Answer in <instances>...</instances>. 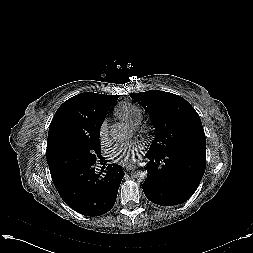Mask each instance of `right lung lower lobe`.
<instances>
[{
    "label": "right lung lower lobe",
    "instance_id": "right-lung-lower-lobe-1",
    "mask_svg": "<svg viewBox=\"0 0 253 253\" xmlns=\"http://www.w3.org/2000/svg\"><path fill=\"white\" fill-rule=\"evenodd\" d=\"M105 168V167H104ZM95 164L72 168L51 175L62 200L76 212L85 216H99L107 213L115 204L123 169L109 165L101 175Z\"/></svg>",
    "mask_w": 253,
    "mask_h": 253
}]
</instances>
